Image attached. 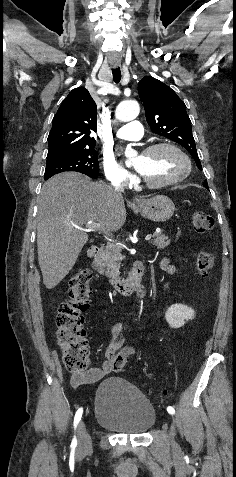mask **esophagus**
Returning <instances> with one entry per match:
<instances>
[{
	"label": "esophagus",
	"instance_id": "obj_1",
	"mask_svg": "<svg viewBox=\"0 0 236 477\" xmlns=\"http://www.w3.org/2000/svg\"><path fill=\"white\" fill-rule=\"evenodd\" d=\"M116 66H117V64H114V67H116ZM135 202L138 204V203H140V200H139V199H135Z\"/></svg>",
	"mask_w": 236,
	"mask_h": 477
}]
</instances>
